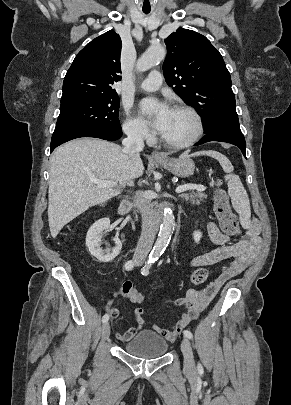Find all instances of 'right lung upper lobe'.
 <instances>
[{"label":"right lung upper lobe","instance_id":"1","mask_svg":"<svg viewBox=\"0 0 291 405\" xmlns=\"http://www.w3.org/2000/svg\"><path fill=\"white\" fill-rule=\"evenodd\" d=\"M122 42L110 30L88 43L75 57L63 82L62 101L118 96L112 85L121 80Z\"/></svg>","mask_w":291,"mask_h":405}]
</instances>
